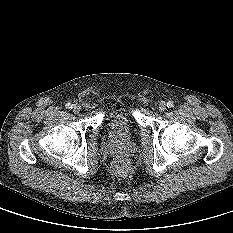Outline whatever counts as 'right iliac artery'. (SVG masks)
Listing matches in <instances>:
<instances>
[{
  "instance_id": "obj_1",
  "label": "right iliac artery",
  "mask_w": 233,
  "mask_h": 233,
  "mask_svg": "<svg viewBox=\"0 0 233 233\" xmlns=\"http://www.w3.org/2000/svg\"><path fill=\"white\" fill-rule=\"evenodd\" d=\"M66 108H67V109H72V108H73V105H72L71 103H67V104H66Z\"/></svg>"
}]
</instances>
